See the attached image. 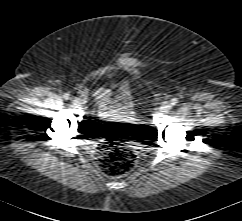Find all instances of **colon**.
Returning a JSON list of instances; mask_svg holds the SVG:
<instances>
[{
	"instance_id": "obj_1",
	"label": "colon",
	"mask_w": 242,
	"mask_h": 221,
	"mask_svg": "<svg viewBox=\"0 0 242 221\" xmlns=\"http://www.w3.org/2000/svg\"><path fill=\"white\" fill-rule=\"evenodd\" d=\"M95 160L103 173L108 176L119 177L135 167L137 154L128 143L110 140L98 146Z\"/></svg>"
}]
</instances>
